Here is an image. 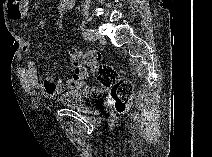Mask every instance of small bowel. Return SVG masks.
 <instances>
[{"instance_id":"obj_1","label":"small bowel","mask_w":212,"mask_h":157,"mask_svg":"<svg viewBox=\"0 0 212 157\" xmlns=\"http://www.w3.org/2000/svg\"><path fill=\"white\" fill-rule=\"evenodd\" d=\"M75 4V0H61L60 6L64 11H70ZM7 15L13 21L24 18L28 11V2L19 0H9L6 3ZM31 43L26 41L22 45L23 52H29ZM21 76L29 89H40L48 97H57L68 90L78 89L83 83H78L72 78H48L41 80L35 62L30 61L22 67Z\"/></svg>"}]
</instances>
